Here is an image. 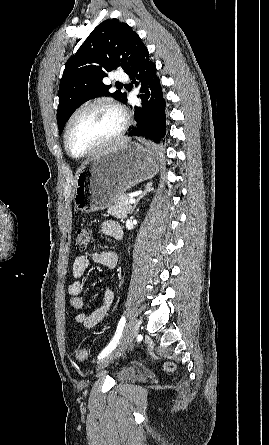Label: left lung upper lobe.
<instances>
[{
    "label": "left lung upper lobe",
    "instance_id": "left-lung-upper-lobe-1",
    "mask_svg": "<svg viewBox=\"0 0 269 445\" xmlns=\"http://www.w3.org/2000/svg\"><path fill=\"white\" fill-rule=\"evenodd\" d=\"M146 50L139 35L128 24L115 18L99 24L65 66L58 92L59 133L74 111L86 101L102 95L124 99L126 93L120 90L109 93L111 85H105L103 78L119 67L128 73Z\"/></svg>",
    "mask_w": 269,
    "mask_h": 445
}]
</instances>
